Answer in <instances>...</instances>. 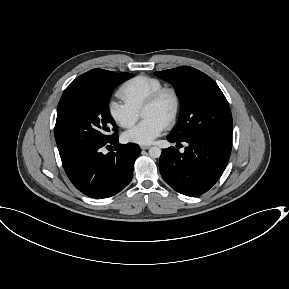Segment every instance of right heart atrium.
Instances as JSON below:
<instances>
[{
    "mask_svg": "<svg viewBox=\"0 0 289 289\" xmlns=\"http://www.w3.org/2000/svg\"><path fill=\"white\" fill-rule=\"evenodd\" d=\"M108 113L117 125L125 129L131 128L139 118L138 111L116 100L109 101Z\"/></svg>",
    "mask_w": 289,
    "mask_h": 289,
    "instance_id": "1",
    "label": "right heart atrium"
}]
</instances>
